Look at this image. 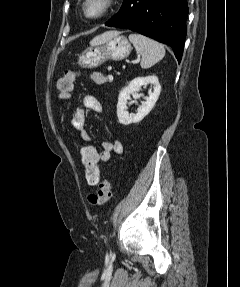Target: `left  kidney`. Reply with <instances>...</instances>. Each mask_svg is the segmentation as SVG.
<instances>
[{
    "mask_svg": "<svg viewBox=\"0 0 240 287\" xmlns=\"http://www.w3.org/2000/svg\"><path fill=\"white\" fill-rule=\"evenodd\" d=\"M148 84L153 85V92H149V96L145 97V101L142 102V105L137 109L136 114H129L127 111V100H130V96L136 100L142 96L139 94L142 86H147ZM161 92V86L159 80L156 76H147V77H137L133 79L128 86L123 88L118 97L117 103V117L120 124L129 125L132 123H139L143 118L150 113L153 109L156 101ZM135 101H130L129 104L134 103Z\"/></svg>",
    "mask_w": 240,
    "mask_h": 287,
    "instance_id": "1",
    "label": "left kidney"
}]
</instances>
